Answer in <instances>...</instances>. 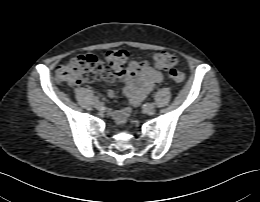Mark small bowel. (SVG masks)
Returning <instances> with one entry per match:
<instances>
[{"label":"small bowel","instance_id":"obj_1","mask_svg":"<svg viewBox=\"0 0 260 202\" xmlns=\"http://www.w3.org/2000/svg\"><path fill=\"white\" fill-rule=\"evenodd\" d=\"M107 81L118 82L123 86V92L128 102L137 106L152 92L163 80L162 73L152 67L147 61H131L127 67L111 68L103 76ZM109 97L114 91H107ZM131 113L129 107L113 111L111 116L118 123H124Z\"/></svg>","mask_w":260,"mask_h":202}]
</instances>
